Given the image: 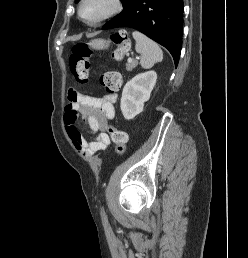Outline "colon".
I'll list each match as a JSON object with an SVG mask.
<instances>
[{"label": "colon", "instance_id": "5ec220e1", "mask_svg": "<svg viewBox=\"0 0 248 258\" xmlns=\"http://www.w3.org/2000/svg\"><path fill=\"white\" fill-rule=\"evenodd\" d=\"M112 41L117 45L113 57L115 59L122 58L130 49V41L127 33L123 30L117 31L111 35ZM90 50L85 44H76L72 48L69 57V66L72 75L81 84H87L90 80ZM103 83L108 91L114 92L120 88L121 81L114 72L104 75ZM108 133L113 142L117 145V153L122 154L128 140L126 132L116 129L113 126L108 127Z\"/></svg>", "mask_w": 248, "mask_h": 258}]
</instances>
